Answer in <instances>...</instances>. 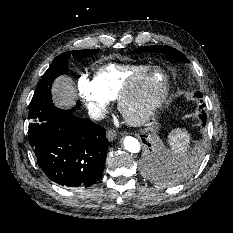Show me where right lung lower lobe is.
Wrapping results in <instances>:
<instances>
[{
	"label": "right lung lower lobe",
	"instance_id": "98d812e1",
	"mask_svg": "<svg viewBox=\"0 0 233 233\" xmlns=\"http://www.w3.org/2000/svg\"><path fill=\"white\" fill-rule=\"evenodd\" d=\"M58 110L34 147L47 177L66 187H89L102 176L108 140L100 126Z\"/></svg>",
	"mask_w": 233,
	"mask_h": 233
}]
</instances>
